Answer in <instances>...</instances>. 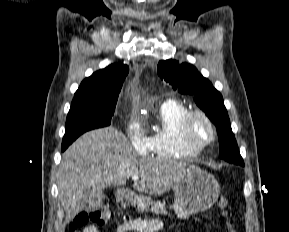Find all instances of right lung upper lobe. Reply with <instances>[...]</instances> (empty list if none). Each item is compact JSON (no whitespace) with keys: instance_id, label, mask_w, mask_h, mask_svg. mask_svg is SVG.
<instances>
[{"instance_id":"1","label":"right lung upper lobe","mask_w":289,"mask_h":232,"mask_svg":"<svg viewBox=\"0 0 289 232\" xmlns=\"http://www.w3.org/2000/svg\"><path fill=\"white\" fill-rule=\"evenodd\" d=\"M129 68L123 64H111L84 79L74 95L80 97H118Z\"/></svg>"}]
</instances>
